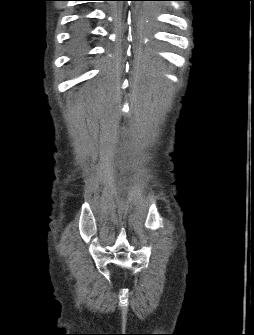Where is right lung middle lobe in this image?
<instances>
[{"mask_svg":"<svg viewBox=\"0 0 254 335\" xmlns=\"http://www.w3.org/2000/svg\"><path fill=\"white\" fill-rule=\"evenodd\" d=\"M86 30H87V25L83 21L78 22L75 26V31L77 34H82L86 32Z\"/></svg>","mask_w":254,"mask_h":335,"instance_id":"1","label":"right lung middle lobe"}]
</instances>
